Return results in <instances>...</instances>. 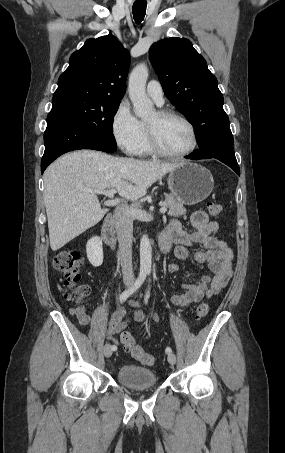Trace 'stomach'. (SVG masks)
Listing matches in <instances>:
<instances>
[{"instance_id": "0dacf381", "label": "stomach", "mask_w": 285, "mask_h": 453, "mask_svg": "<svg viewBox=\"0 0 285 453\" xmlns=\"http://www.w3.org/2000/svg\"><path fill=\"white\" fill-rule=\"evenodd\" d=\"M168 186L178 202L191 206L210 195L214 180L207 168L196 163L182 162L169 172Z\"/></svg>"}]
</instances>
